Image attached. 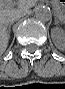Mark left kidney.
<instances>
[{
  "mask_svg": "<svg viewBox=\"0 0 65 89\" xmlns=\"http://www.w3.org/2000/svg\"><path fill=\"white\" fill-rule=\"evenodd\" d=\"M55 46L61 50H65V30L57 29L56 35L53 36Z\"/></svg>",
  "mask_w": 65,
  "mask_h": 89,
  "instance_id": "5707ae66",
  "label": "left kidney"
}]
</instances>
